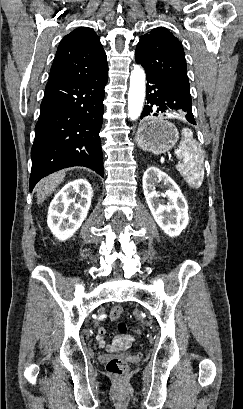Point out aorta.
Returning a JSON list of instances; mask_svg holds the SVG:
<instances>
[{
  "instance_id": "1",
  "label": "aorta",
  "mask_w": 243,
  "mask_h": 409,
  "mask_svg": "<svg viewBox=\"0 0 243 409\" xmlns=\"http://www.w3.org/2000/svg\"><path fill=\"white\" fill-rule=\"evenodd\" d=\"M145 99V72L136 65L131 72L128 92V117L136 120L141 115Z\"/></svg>"
}]
</instances>
